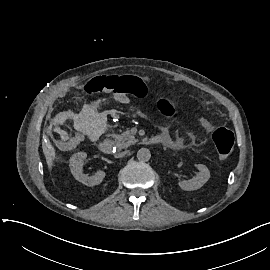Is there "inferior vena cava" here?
<instances>
[{
  "instance_id": "602c4592",
  "label": "inferior vena cava",
  "mask_w": 270,
  "mask_h": 270,
  "mask_svg": "<svg viewBox=\"0 0 270 270\" xmlns=\"http://www.w3.org/2000/svg\"><path fill=\"white\" fill-rule=\"evenodd\" d=\"M127 153H128V151L122 152V153H120V156H124V155H126Z\"/></svg>"
}]
</instances>
